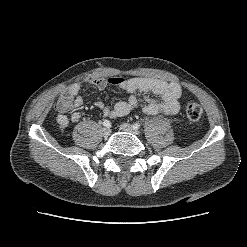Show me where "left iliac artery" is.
I'll return each instance as SVG.
<instances>
[{
  "mask_svg": "<svg viewBox=\"0 0 247 247\" xmlns=\"http://www.w3.org/2000/svg\"><path fill=\"white\" fill-rule=\"evenodd\" d=\"M140 124L139 123H134L133 125H132V127L134 128V129H139L140 128Z\"/></svg>",
  "mask_w": 247,
  "mask_h": 247,
  "instance_id": "44dca946",
  "label": "left iliac artery"
}]
</instances>
